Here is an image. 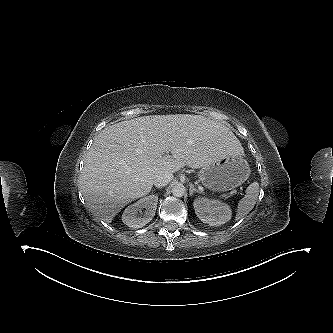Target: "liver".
I'll return each instance as SVG.
<instances>
[{
  "instance_id": "liver-1",
  "label": "liver",
  "mask_w": 333,
  "mask_h": 333,
  "mask_svg": "<svg viewBox=\"0 0 333 333\" xmlns=\"http://www.w3.org/2000/svg\"><path fill=\"white\" fill-rule=\"evenodd\" d=\"M243 153L229 128L204 116L138 117L99 133L87 153L80 188L90 211L111 223L125 205L149 194L156 175Z\"/></svg>"
}]
</instances>
